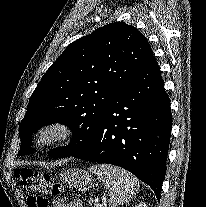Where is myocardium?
<instances>
[{"mask_svg":"<svg viewBox=\"0 0 206 207\" xmlns=\"http://www.w3.org/2000/svg\"><path fill=\"white\" fill-rule=\"evenodd\" d=\"M75 135L76 130L68 122L52 120L37 129L33 142L40 149H53L69 143Z\"/></svg>","mask_w":206,"mask_h":207,"instance_id":"obj_1","label":"myocardium"}]
</instances>
